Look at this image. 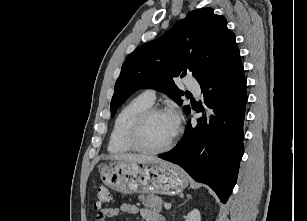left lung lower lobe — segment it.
Returning <instances> with one entry per match:
<instances>
[{
    "mask_svg": "<svg viewBox=\"0 0 307 221\" xmlns=\"http://www.w3.org/2000/svg\"><path fill=\"white\" fill-rule=\"evenodd\" d=\"M203 103L214 106L215 116L205 130L188 122L178 145L159 157L181 166L194 180L210 186L222 203L237 180L243 147V123L247 103L246 80L238 51L210 81L201 86ZM197 112L203 111L199 103ZM206 119V118H205Z\"/></svg>",
    "mask_w": 307,
    "mask_h": 221,
    "instance_id": "obj_1",
    "label": "left lung lower lobe"
}]
</instances>
